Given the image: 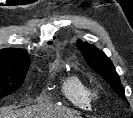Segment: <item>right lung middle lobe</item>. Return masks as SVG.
<instances>
[{"label":"right lung middle lobe","mask_w":133,"mask_h":118,"mask_svg":"<svg viewBox=\"0 0 133 118\" xmlns=\"http://www.w3.org/2000/svg\"><path fill=\"white\" fill-rule=\"evenodd\" d=\"M29 64L0 68V99L15 92L23 84Z\"/></svg>","instance_id":"obj_1"}]
</instances>
